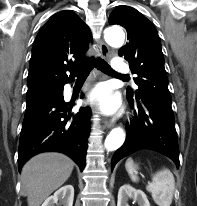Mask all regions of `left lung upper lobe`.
Masks as SVG:
<instances>
[{
    "label": "left lung upper lobe",
    "mask_w": 197,
    "mask_h": 206,
    "mask_svg": "<svg viewBox=\"0 0 197 206\" xmlns=\"http://www.w3.org/2000/svg\"><path fill=\"white\" fill-rule=\"evenodd\" d=\"M109 24H118L127 30L129 42L118 54L124 56L129 67L138 77V89L127 88V95H142L171 104L164 57L158 33L144 15L129 6H119L109 17Z\"/></svg>",
    "instance_id": "obj_1"
}]
</instances>
